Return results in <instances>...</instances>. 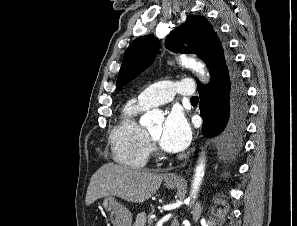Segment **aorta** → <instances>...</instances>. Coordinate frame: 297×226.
Returning <instances> with one entry per match:
<instances>
[{
  "label": "aorta",
  "mask_w": 297,
  "mask_h": 226,
  "mask_svg": "<svg viewBox=\"0 0 297 226\" xmlns=\"http://www.w3.org/2000/svg\"><path fill=\"white\" fill-rule=\"evenodd\" d=\"M179 62L182 63V65H185L187 68L199 74V76L202 77V79H205L206 74L208 75V73H206L204 65L197 62L194 58L182 55L179 58ZM159 117H160V114L157 110L150 111L145 115V119L148 121H155ZM204 174H205V160L204 158H202L199 160V163L196 166L195 174L192 182V190H191L190 196L193 197L194 199L196 198V195L199 191Z\"/></svg>",
  "instance_id": "762f6f07"
}]
</instances>
